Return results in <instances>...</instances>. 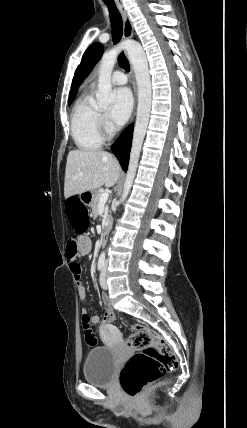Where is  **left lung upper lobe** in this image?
<instances>
[{"instance_id": "1", "label": "left lung upper lobe", "mask_w": 247, "mask_h": 428, "mask_svg": "<svg viewBox=\"0 0 247 428\" xmlns=\"http://www.w3.org/2000/svg\"><path fill=\"white\" fill-rule=\"evenodd\" d=\"M103 54V46L100 43H93L84 53L81 64L75 71L71 87L79 86L88 74L92 71L95 64L100 60ZM71 95V93H70Z\"/></svg>"}]
</instances>
